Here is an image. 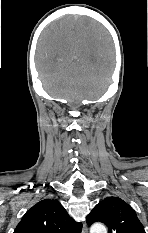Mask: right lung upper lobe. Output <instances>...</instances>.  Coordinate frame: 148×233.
I'll return each mask as SVG.
<instances>
[{
  "instance_id": "obj_1",
  "label": "right lung upper lobe",
  "mask_w": 148,
  "mask_h": 233,
  "mask_svg": "<svg viewBox=\"0 0 148 233\" xmlns=\"http://www.w3.org/2000/svg\"><path fill=\"white\" fill-rule=\"evenodd\" d=\"M82 223L69 216L57 201L45 199L31 207L14 233H81Z\"/></svg>"
}]
</instances>
